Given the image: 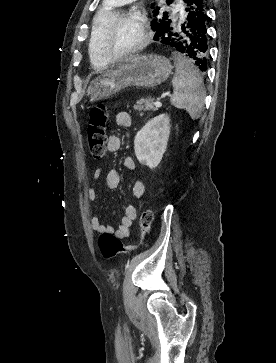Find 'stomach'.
Returning a JSON list of instances; mask_svg holds the SVG:
<instances>
[{
  "mask_svg": "<svg viewBox=\"0 0 276 363\" xmlns=\"http://www.w3.org/2000/svg\"><path fill=\"white\" fill-rule=\"evenodd\" d=\"M172 68L170 61L160 55L134 56L92 81L87 95L96 102L130 86L151 89L165 82Z\"/></svg>",
  "mask_w": 276,
  "mask_h": 363,
  "instance_id": "obj_1",
  "label": "stomach"
}]
</instances>
